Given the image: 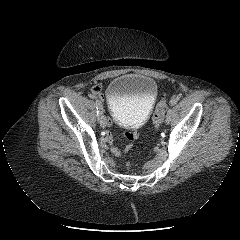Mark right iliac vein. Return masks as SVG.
I'll use <instances>...</instances> for the list:
<instances>
[{"instance_id": "obj_1", "label": "right iliac vein", "mask_w": 240, "mask_h": 240, "mask_svg": "<svg viewBox=\"0 0 240 240\" xmlns=\"http://www.w3.org/2000/svg\"><path fill=\"white\" fill-rule=\"evenodd\" d=\"M98 120H99L100 126L104 128L106 126V117L103 114H101Z\"/></svg>"}]
</instances>
